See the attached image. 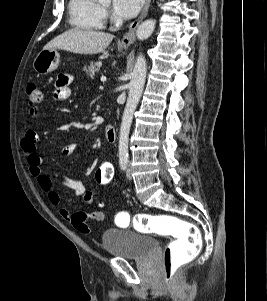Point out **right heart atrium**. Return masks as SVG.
<instances>
[{
    "label": "right heart atrium",
    "instance_id": "1",
    "mask_svg": "<svg viewBox=\"0 0 267 301\" xmlns=\"http://www.w3.org/2000/svg\"><path fill=\"white\" fill-rule=\"evenodd\" d=\"M102 16L104 19H106L108 16L107 11L105 9H102Z\"/></svg>",
    "mask_w": 267,
    "mask_h": 301
}]
</instances>
